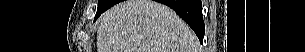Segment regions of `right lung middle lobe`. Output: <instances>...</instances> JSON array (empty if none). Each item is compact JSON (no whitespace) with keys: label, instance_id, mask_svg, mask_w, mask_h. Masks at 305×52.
Returning a JSON list of instances; mask_svg holds the SVG:
<instances>
[{"label":"right lung middle lobe","instance_id":"1","mask_svg":"<svg viewBox=\"0 0 305 52\" xmlns=\"http://www.w3.org/2000/svg\"><path fill=\"white\" fill-rule=\"evenodd\" d=\"M108 2H109V0H99L98 1V10H97L96 15L98 14V12L100 10H102L107 5Z\"/></svg>","mask_w":305,"mask_h":52}]
</instances>
